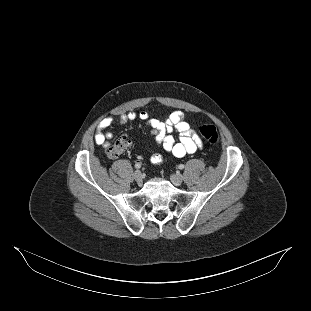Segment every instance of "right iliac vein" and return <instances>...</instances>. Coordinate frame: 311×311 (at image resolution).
Here are the masks:
<instances>
[{
	"instance_id": "1",
	"label": "right iliac vein",
	"mask_w": 311,
	"mask_h": 311,
	"mask_svg": "<svg viewBox=\"0 0 311 311\" xmlns=\"http://www.w3.org/2000/svg\"><path fill=\"white\" fill-rule=\"evenodd\" d=\"M133 176H134V179H135V181L137 183H141L142 182L143 177H142V174H141V172L139 170L135 171Z\"/></svg>"
}]
</instances>
